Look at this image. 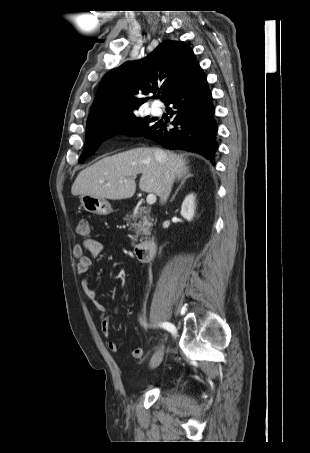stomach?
Returning <instances> with one entry per match:
<instances>
[{"instance_id": "1", "label": "stomach", "mask_w": 310, "mask_h": 453, "mask_svg": "<svg viewBox=\"0 0 310 453\" xmlns=\"http://www.w3.org/2000/svg\"><path fill=\"white\" fill-rule=\"evenodd\" d=\"M80 202L84 210L92 214L108 215L113 211L111 204L106 199L90 195H81Z\"/></svg>"}]
</instances>
